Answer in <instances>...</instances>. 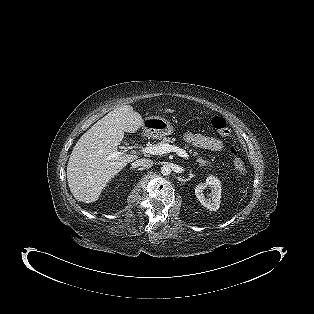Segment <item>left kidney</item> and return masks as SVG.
I'll list each match as a JSON object with an SVG mask.
<instances>
[{"label": "left kidney", "mask_w": 314, "mask_h": 314, "mask_svg": "<svg viewBox=\"0 0 314 314\" xmlns=\"http://www.w3.org/2000/svg\"><path fill=\"white\" fill-rule=\"evenodd\" d=\"M211 189V194L205 197L204 189ZM195 194L200 203L211 211L218 210L221 199V183L215 176H209L205 183L198 184L195 188Z\"/></svg>", "instance_id": "left-kidney-1"}]
</instances>
